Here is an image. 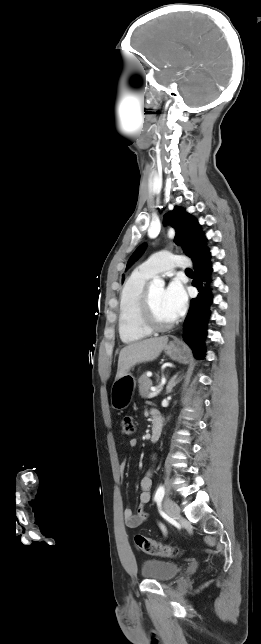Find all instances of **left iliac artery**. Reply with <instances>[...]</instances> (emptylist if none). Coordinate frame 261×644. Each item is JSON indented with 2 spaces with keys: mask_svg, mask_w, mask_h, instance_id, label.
Instances as JSON below:
<instances>
[{
  "mask_svg": "<svg viewBox=\"0 0 261 644\" xmlns=\"http://www.w3.org/2000/svg\"><path fill=\"white\" fill-rule=\"evenodd\" d=\"M165 494V489L162 485H160L155 493L154 500L157 502H161ZM161 529L165 532L166 529L163 525H161Z\"/></svg>",
  "mask_w": 261,
  "mask_h": 644,
  "instance_id": "1",
  "label": "left iliac artery"
}]
</instances>
